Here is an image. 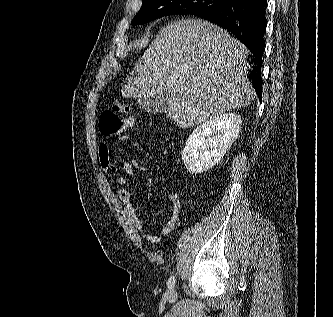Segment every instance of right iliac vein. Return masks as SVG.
Wrapping results in <instances>:
<instances>
[{
    "mask_svg": "<svg viewBox=\"0 0 333 317\" xmlns=\"http://www.w3.org/2000/svg\"><path fill=\"white\" fill-rule=\"evenodd\" d=\"M166 295L169 299H175L176 298V292L174 289H169L167 292H166Z\"/></svg>",
    "mask_w": 333,
    "mask_h": 317,
    "instance_id": "right-iliac-vein-1",
    "label": "right iliac vein"
}]
</instances>
